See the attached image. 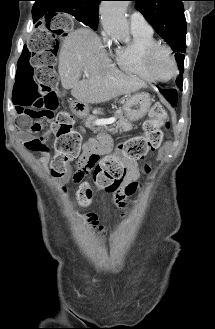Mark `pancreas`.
<instances>
[{"instance_id":"cf45deb5","label":"pancreas","mask_w":215,"mask_h":329,"mask_svg":"<svg viewBox=\"0 0 215 329\" xmlns=\"http://www.w3.org/2000/svg\"><path fill=\"white\" fill-rule=\"evenodd\" d=\"M115 118H118V121L116 122V125L115 128L111 127L110 129H108L107 131L109 132H112V131H115L117 129H120L122 131H130L132 129V125L131 123L128 122V120L123 116V114L121 112H118L115 114ZM97 118L93 115H88L86 117V119L84 120V124L86 127H89L95 131H101L103 130V128L101 127H98V128H95V124H94V121L96 120Z\"/></svg>"}]
</instances>
